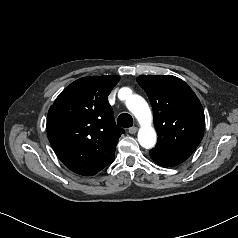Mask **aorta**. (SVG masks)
I'll return each mask as SVG.
<instances>
[{"label": "aorta", "mask_w": 238, "mask_h": 238, "mask_svg": "<svg viewBox=\"0 0 238 238\" xmlns=\"http://www.w3.org/2000/svg\"><path fill=\"white\" fill-rule=\"evenodd\" d=\"M125 103L140 124L138 131L139 144L146 149L153 148L156 144L157 135L152 126V114L148 103L141 96L135 94L129 95Z\"/></svg>", "instance_id": "obj_1"}]
</instances>
